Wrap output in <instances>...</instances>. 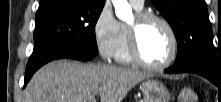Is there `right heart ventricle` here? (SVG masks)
Returning a JSON list of instances; mask_svg holds the SVG:
<instances>
[{"mask_svg": "<svg viewBox=\"0 0 221 102\" xmlns=\"http://www.w3.org/2000/svg\"><path fill=\"white\" fill-rule=\"evenodd\" d=\"M138 11L141 9L136 8ZM122 29V38L115 55L117 61L123 64H131L133 63V59L130 55L129 48H128V38H127V26L125 24H121Z\"/></svg>", "mask_w": 221, "mask_h": 102, "instance_id": "right-heart-ventricle-1", "label": "right heart ventricle"}]
</instances>
